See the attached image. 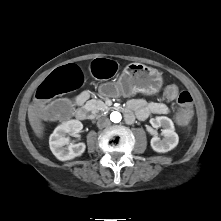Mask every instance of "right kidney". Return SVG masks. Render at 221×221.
Masks as SVG:
<instances>
[{
    "label": "right kidney",
    "mask_w": 221,
    "mask_h": 221,
    "mask_svg": "<svg viewBox=\"0 0 221 221\" xmlns=\"http://www.w3.org/2000/svg\"><path fill=\"white\" fill-rule=\"evenodd\" d=\"M82 128L83 125L79 120H69L55 128L50 135L49 145L50 150L58 160H71L84 153L85 143L72 144L69 137H67V134L76 136Z\"/></svg>",
    "instance_id": "right-kidney-1"
}]
</instances>
